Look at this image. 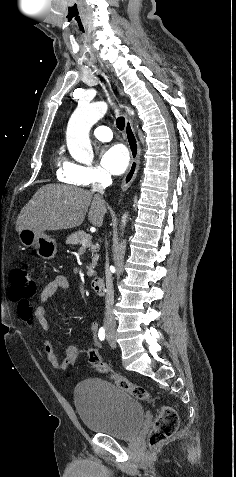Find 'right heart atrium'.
Masks as SVG:
<instances>
[{
    "label": "right heart atrium",
    "mask_w": 236,
    "mask_h": 477,
    "mask_svg": "<svg viewBox=\"0 0 236 477\" xmlns=\"http://www.w3.org/2000/svg\"><path fill=\"white\" fill-rule=\"evenodd\" d=\"M60 177L66 183L87 187L101 184L110 176L100 166L65 162L60 170Z\"/></svg>",
    "instance_id": "d8ad5b80"
}]
</instances>
